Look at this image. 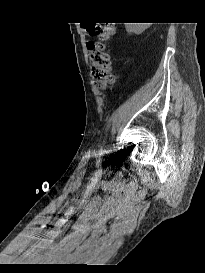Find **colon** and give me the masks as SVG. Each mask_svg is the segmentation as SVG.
Segmentation results:
<instances>
[{
  "instance_id": "colon-1",
  "label": "colon",
  "mask_w": 205,
  "mask_h": 273,
  "mask_svg": "<svg viewBox=\"0 0 205 273\" xmlns=\"http://www.w3.org/2000/svg\"><path fill=\"white\" fill-rule=\"evenodd\" d=\"M114 22L89 25L88 33L96 35L98 40L88 45V55L91 64V73L96 91L104 90L113 83L114 78L111 72V57L107 49V42L114 35Z\"/></svg>"
}]
</instances>
